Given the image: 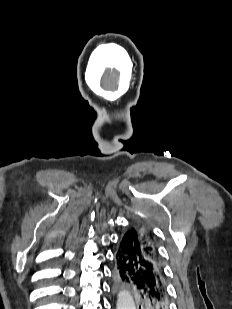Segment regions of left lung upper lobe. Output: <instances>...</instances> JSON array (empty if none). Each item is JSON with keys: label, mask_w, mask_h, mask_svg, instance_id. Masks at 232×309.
Returning a JSON list of instances; mask_svg holds the SVG:
<instances>
[{"label": "left lung upper lobe", "mask_w": 232, "mask_h": 309, "mask_svg": "<svg viewBox=\"0 0 232 309\" xmlns=\"http://www.w3.org/2000/svg\"><path fill=\"white\" fill-rule=\"evenodd\" d=\"M137 241L141 245L144 252L152 259L160 263V258L156 246L153 233L144 225L135 224L131 227Z\"/></svg>", "instance_id": "left-lung-upper-lobe-1"}]
</instances>
